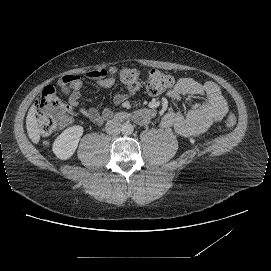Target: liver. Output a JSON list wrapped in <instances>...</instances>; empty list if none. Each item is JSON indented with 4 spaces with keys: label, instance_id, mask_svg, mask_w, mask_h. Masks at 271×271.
Returning a JSON list of instances; mask_svg holds the SVG:
<instances>
[{
    "label": "liver",
    "instance_id": "1",
    "mask_svg": "<svg viewBox=\"0 0 271 271\" xmlns=\"http://www.w3.org/2000/svg\"><path fill=\"white\" fill-rule=\"evenodd\" d=\"M26 129L29 138L34 144H37L40 141L41 130L38 126V121L36 118V106L32 105L28 111L26 117Z\"/></svg>",
    "mask_w": 271,
    "mask_h": 271
}]
</instances>
